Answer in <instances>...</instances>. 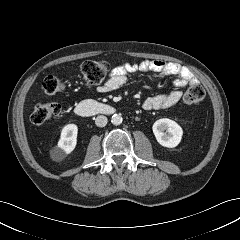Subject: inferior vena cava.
<instances>
[{
    "label": "inferior vena cava",
    "instance_id": "602c4592",
    "mask_svg": "<svg viewBox=\"0 0 240 240\" xmlns=\"http://www.w3.org/2000/svg\"><path fill=\"white\" fill-rule=\"evenodd\" d=\"M108 122V119L106 116H103V115H99L96 117L95 119V124L98 126V127H104L106 126Z\"/></svg>",
    "mask_w": 240,
    "mask_h": 240
}]
</instances>
